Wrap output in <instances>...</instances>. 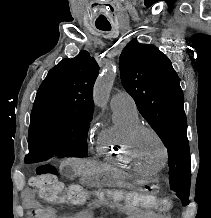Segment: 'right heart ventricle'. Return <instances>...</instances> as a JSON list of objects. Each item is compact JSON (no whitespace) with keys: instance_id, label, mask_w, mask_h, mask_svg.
Here are the masks:
<instances>
[{"instance_id":"obj_1","label":"right heart ventricle","mask_w":211,"mask_h":218,"mask_svg":"<svg viewBox=\"0 0 211 218\" xmlns=\"http://www.w3.org/2000/svg\"><path fill=\"white\" fill-rule=\"evenodd\" d=\"M113 112V125L99 133L94 154L104 157V162H109V165H120V169H137L131 158L129 135L141 123L138 111L114 108Z\"/></svg>"}]
</instances>
